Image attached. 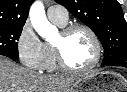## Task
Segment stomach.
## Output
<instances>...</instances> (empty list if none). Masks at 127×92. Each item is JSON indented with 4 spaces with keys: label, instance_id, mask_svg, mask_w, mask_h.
Instances as JSON below:
<instances>
[{
    "label": "stomach",
    "instance_id": "obj_1",
    "mask_svg": "<svg viewBox=\"0 0 127 92\" xmlns=\"http://www.w3.org/2000/svg\"><path fill=\"white\" fill-rule=\"evenodd\" d=\"M127 81L110 71H92L82 76L70 92H124Z\"/></svg>",
    "mask_w": 127,
    "mask_h": 92
}]
</instances>
